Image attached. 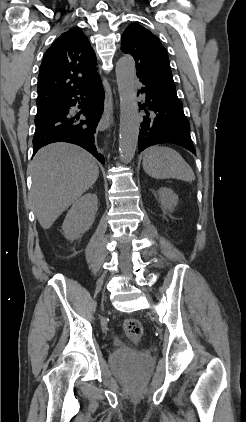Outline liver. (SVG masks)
Segmentation results:
<instances>
[{
	"mask_svg": "<svg viewBox=\"0 0 246 422\" xmlns=\"http://www.w3.org/2000/svg\"><path fill=\"white\" fill-rule=\"evenodd\" d=\"M30 171L32 208L45 230L96 182L99 175L94 157L69 143H53L40 149Z\"/></svg>",
	"mask_w": 246,
	"mask_h": 422,
	"instance_id": "obj_1",
	"label": "liver"
}]
</instances>
